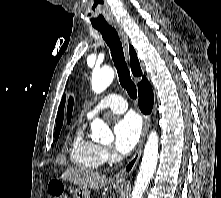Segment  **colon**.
<instances>
[{
	"instance_id": "5ec220e1",
	"label": "colon",
	"mask_w": 221,
	"mask_h": 198,
	"mask_svg": "<svg viewBox=\"0 0 221 198\" xmlns=\"http://www.w3.org/2000/svg\"><path fill=\"white\" fill-rule=\"evenodd\" d=\"M48 198H67L64 192V187L60 181L53 180L50 182Z\"/></svg>"
}]
</instances>
